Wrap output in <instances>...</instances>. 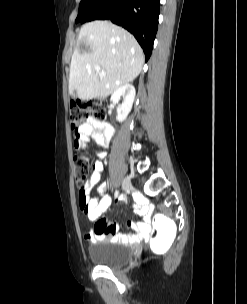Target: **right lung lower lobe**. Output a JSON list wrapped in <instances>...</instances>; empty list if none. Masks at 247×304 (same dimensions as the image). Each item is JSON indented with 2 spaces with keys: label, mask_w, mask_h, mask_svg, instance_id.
Instances as JSON below:
<instances>
[{
  "label": "right lung lower lobe",
  "mask_w": 247,
  "mask_h": 304,
  "mask_svg": "<svg viewBox=\"0 0 247 304\" xmlns=\"http://www.w3.org/2000/svg\"><path fill=\"white\" fill-rule=\"evenodd\" d=\"M160 0H104L81 23L111 20L131 32L150 58L158 29Z\"/></svg>",
  "instance_id": "1"
}]
</instances>
